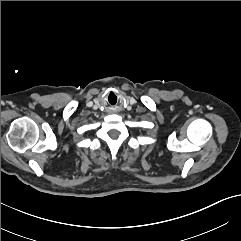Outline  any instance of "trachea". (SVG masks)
<instances>
[{
	"label": "trachea",
	"instance_id": "trachea-1",
	"mask_svg": "<svg viewBox=\"0 0 241 241\" xmlns=\"http://www.w3.org/2000/svg\"><path fill=\"white\" fill-rule=\"evenodd\" d=\"M107 101L110 104H116L118 102V96L115 93H110L107 96Z\"/></svg>",
	"mask_w": 241,
	"mask_h": 241
}]
</instances>
